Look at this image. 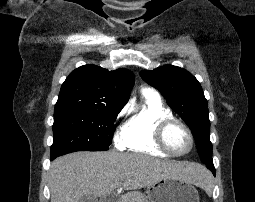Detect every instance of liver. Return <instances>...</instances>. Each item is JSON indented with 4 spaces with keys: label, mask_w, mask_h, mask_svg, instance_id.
Here are the masks:
<instances>
[{
    "label": "liver",
    "mask_w": 255,
    "mask_h": 202,
    "mask_svg": "<svg viewBox=\"0 0 255 202\" xmlns=\"http://www.w3.org/2000/svg\"><path fill=\"white\" fill-rule=\"evenodd\" d=\"M206 170L191 162L160 160L138 153L76 152L57 158L50 168L51 202H79L116 188L140 189L164 178L200 185Z\"/></svg>",
    "instance_id": "obj_1"
}]
</instances>
